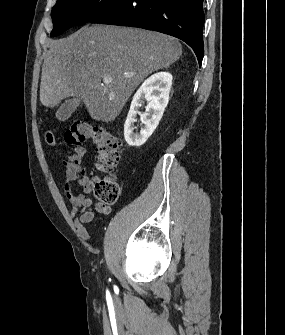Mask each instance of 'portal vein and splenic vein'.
Masks as SVG:
<instances>
[{
	"mask_svg": "<svg viewBox=\"0 0 285 335\" xmlns=\"http://www.w3.org/2000/svg\"><path fill=\"white\" fill-rule=\"evenodd\" d=\"M124 78H132L131 74H123ZM112 82L111 76H104L103 84H110Z\"/></svg>",
	"mask_w": 285,
	"mask_h": 335,
	"instance_id": "1",
	"label": "portal vein and splenic vein"
}]
</instances>
